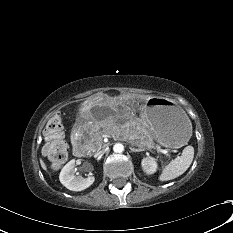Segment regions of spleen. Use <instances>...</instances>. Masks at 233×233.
Segmentation results:
<instances>
[{"label":"spleen","instance_id":"1","mask_svg":"<svg viewBox=\"0 0 233 233\" xmlns=\"http://www.w3.org/2000/svg\"><path fill=\"white\" fill-rule=\"evenodd\" d=\"M193 158L194 148L192 146L185 147L180 157H177L165 166L159 180L168 181L179 177L190 167Z\"/></svg>","mask_w":233,"mask_h":233}]
</instances>
